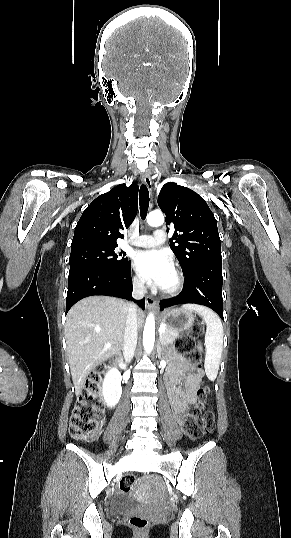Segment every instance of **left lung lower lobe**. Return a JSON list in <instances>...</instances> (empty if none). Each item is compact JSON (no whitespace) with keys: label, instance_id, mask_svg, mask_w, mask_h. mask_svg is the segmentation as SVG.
Here are the masks:
<instances>
[{"label":"left lung lower lobe","instance_id":"obj_1","mask_svg":"<svg viewBox=\"0 0 291 538\" xmlns=\"http://www.w3.org/2000/svg\"><path fill=\"white\" fill-rule=\"evenodd\" d=\"M222 284V261L200 264L186 275V285L178 296L160 301V309L177 304H200L211 308L224 320Z\"/></svg>","mask_w":291,"mask_h":538}]
</instances>
